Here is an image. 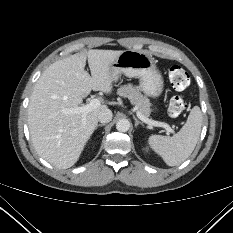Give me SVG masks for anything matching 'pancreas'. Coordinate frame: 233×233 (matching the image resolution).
Here are the masks:
<instances>
[{
    "label": "pancreas",
    "instance_id": "obj_1",
    "mask_svg": "<svg viewBox=\"0 0 233 233\" xmlns=\"http://www.w3.org/2000/svg\"><path fill=\"white\" fill-rule=\"evenodd\" d=\"M117 94L121 97L128 98L136 109L145 117H149L151 113V103L146 96L140 92V87L131 84L120 86Z\"/></svg>",
    "mask_w": 233,
    "mask_h": 233
}]
</instances>
